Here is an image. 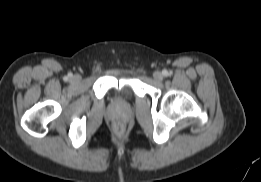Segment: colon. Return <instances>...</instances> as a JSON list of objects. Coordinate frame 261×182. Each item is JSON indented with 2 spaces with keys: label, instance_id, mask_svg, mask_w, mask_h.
Masks as SVG:
<instances>
[{
  "label": "colon",
  "instance_id": "obj_1",
  "mask_svg": "<svg viewBox=\"0 0 261 182\" xmlns=\"http://www.w3.org/2000/svg\"><path fill=\"white\" fill-rule=\"evenodd\" d=\"M116 129H117L118 132H121V131H122V127H121L120 125H118V126L116 127Z\"/></svg>",
  "mask_w": 261,
  "mask_h": 182
}]
</instances>
